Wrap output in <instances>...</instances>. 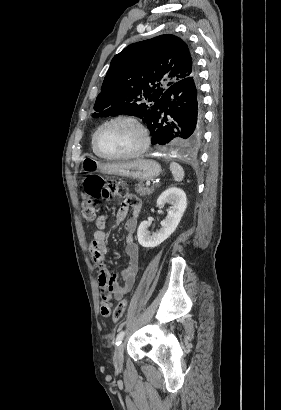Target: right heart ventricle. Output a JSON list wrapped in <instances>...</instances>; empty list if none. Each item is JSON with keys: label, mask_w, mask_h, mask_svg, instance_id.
Masks as SVG:
<instances>
[{"label": "right heart ventricle", "mask_w": 281, "mask_h": 410, "mask_svg": "<svg viewBox=\"0 0 281 410\" xmlns=\"http://www.w3.org/2000/svg\"><path fill=\"white\" fill-rule=\"evenodd\" d=\"M91 146H92L93 152H94L95 154H97V153L95 152L94 148H93V142H92V140H91ZM97 155H98V154H97Z\"/></svg>", "instance_id": "obj_1"}]
</instances>
